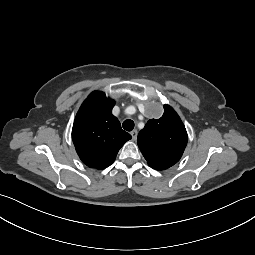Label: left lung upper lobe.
Here are the masks:
<instances>
[{"label":"left lung upper lobe","instance_id":"5c2ea615","mask_svg":"<svg viewBox=\"0 0 255 255\" xmlns=\"http://www.w3.org/2000/svg\"><path fill=\"white\" fill-rule=\"evenodd\" d=\"M187 132L178 114L164 105L159 119H150L138 134V146L149 166L156 170L176 164L187 145Z\"/></svg>","mask_w":255,"mask_h":255}]
</instances>
